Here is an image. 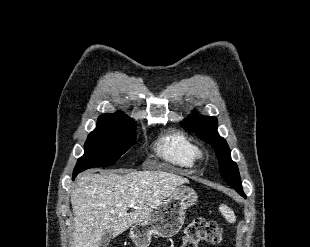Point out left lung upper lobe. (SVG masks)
<instances>
[{
    "label": "left lung upper lobe",
    "mask_w": 310,
    "mask_h": 247,
    "mask_svg": "<svg viewBox=\"0 0 310 247\" xmlns=\"http://www.w3.org/2000/svg\"><path fill=\"white\" fill-rule=\"evenodd\" d=\"M181 126L189 131L196 132L200 139L214 148L219 161L221 176L231 187H241L242 183L237 164L231 160L227 142L217 133V119L197 114L183 121Z\"/></svg>",
    "instance_id": "1"
}]
</instances>
